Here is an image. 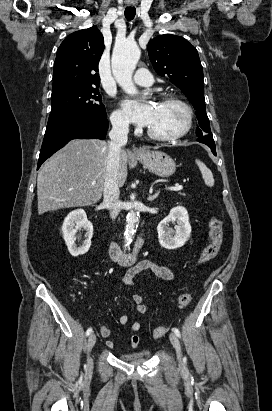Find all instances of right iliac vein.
I'll return each instance as SVG.
<instances>
[{"label": "right iliac vein", "mask_w": 272, "mask_h": 411, "mask_svg": "<svg viewBox=\"0 0 272 411\" xmlns=\"http://www.w3.org/2000/svg\"><path fill=\"white\" fill-rule=\"evenodd\" d=\"M95 342H96V335L94 333H92L89 336L88 341H87V345H86V349H87V353H88V357H87L88 369L92 368V359L90 357V352H91L93 346L95 345Z\"/></svg>", "instance_id": "right-iliac-vein-1"}]
</instances>
